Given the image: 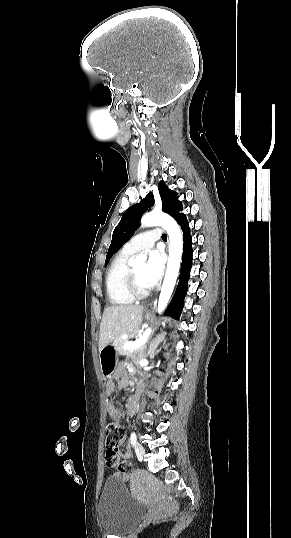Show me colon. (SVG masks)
Listing matches in <instances>:
<instances>
[{"instance_id":"5ec220e1","label":"colon","mask_w":291,"mask_h":538,"mask_svg":"<svg viewBox=\"0 0 291 538\" xmlns=\"http://www.w3.org/2000/svg\"><path fill=\"white\" fill-rule=\"evenodd\" d=\"M124 438V430L119 421L111 418L106 426V461L109 467L116 468L124 480L132 474V466L118 457L117 447Z\"/></svg>"}]
</instances>
